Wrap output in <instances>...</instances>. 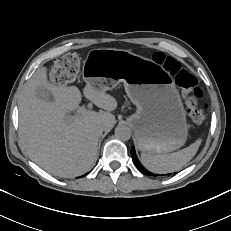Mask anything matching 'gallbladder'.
Segmentation results:
<instances>
[{
	"instance_id": "bac80fb5",
	"label": "gallbladder",
	"mask_w": 231,
	"mask_h": 231,
	"mask_svg": "<svg viewBox=\"0 0 231 231\" xmlns=\"http://www.w3.org/2000/svg\"><path fill=\"white\" fill-rule=\"evenodd\" d=\"M37 96L43 100H51L52 99V95L51 93L45 89V88H39L37 89Z\"/></svg>"
}]
</instances>
